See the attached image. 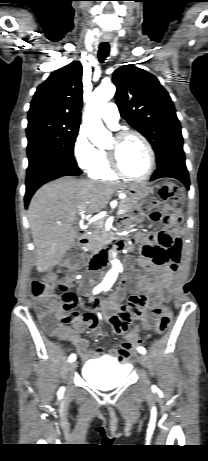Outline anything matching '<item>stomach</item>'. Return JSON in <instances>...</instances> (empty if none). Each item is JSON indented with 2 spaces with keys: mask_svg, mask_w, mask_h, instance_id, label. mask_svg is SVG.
I'll return each instance as SVG.
<instances>
[{
  "mask_svg": "<svg viewBox=\"0 0 208 461\" xmlns=\"http://www.w3.org/2000/svg\"><path fill=\"white\" fill-rule=\"evenodd\" d=\"M149 192L150 188L145 184H132L127 189L130 198L136 201L146 198Z\"/></svg>",
  "mask_w": 208,
  "mask_h": 461,
  "instance_id": "1",
  "label": "stomach"
}]
</instances>
